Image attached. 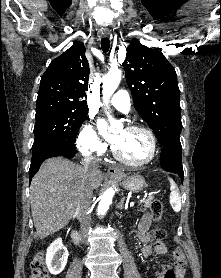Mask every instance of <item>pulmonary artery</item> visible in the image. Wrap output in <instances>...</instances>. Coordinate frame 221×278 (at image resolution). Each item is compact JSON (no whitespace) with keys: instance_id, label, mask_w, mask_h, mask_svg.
Here are the masks:
<instances>
[{"instance_id":"pulmonary-artery-1","label":"pulmonary artery","mask_w":221,"mask_h":278,"mask_svg":"<svg viewBox=\"0 0 221 278\" xmlns=\"http://www.w3.org/2000/svg\"><path fill=\"white\" fill-rule=\"evenodd\" d=\"M113 107L121 112L127 113L130 110L131 102L128 93L124 90L117 91L110 99Z\"/></svg>"}]
</instances>
